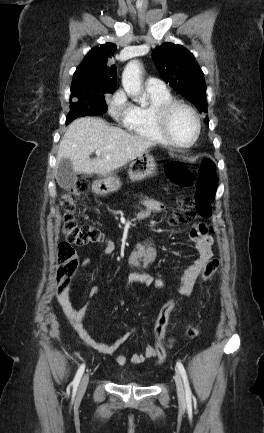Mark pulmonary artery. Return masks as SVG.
<instances>
[{
  "label": "pulmonary artery",
  "mask_w": 264,
  "mask_h": 433,
  "mask_svg": "<svg viewBox=\"0 0 264 433\" xmlns=\"http://www.w3.org/2000/svg\"><path fill=\"white\" fill-rule=\"evenodd\" d=\"M146 89L152 92H165L167 91L165 83L158 78H148L145 81Z\"/></svg>",
  "instance_id": "obj_1"
}]
</instances>
